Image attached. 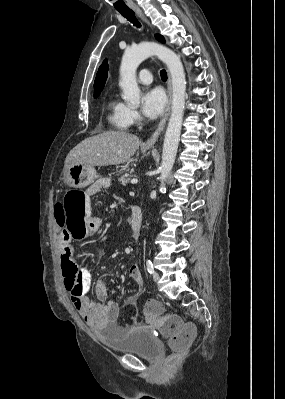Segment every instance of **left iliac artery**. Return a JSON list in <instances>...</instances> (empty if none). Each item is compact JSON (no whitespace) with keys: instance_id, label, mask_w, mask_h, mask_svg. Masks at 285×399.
Instances as JSON below:
<instances>
[{"instance_id":"1","label":"left iliac artery","mask_w":285,"mask_h":399,"mask_svg":"<svg viewBox=\"0 0 285 399\" xmlns=\"http://www.w3.org/2000/svg\"><path fill=\"white\" fill-rule=\"evenodd\" d=\"M146 268H147L148 273L152 274L154 272V267H153L151 260H147Z\"/></svg>"}]
</instances>
